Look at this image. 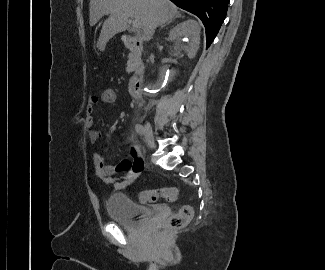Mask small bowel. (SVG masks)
<instances>
[{"label": "small bowel", "instance_id": "obj_1", "mask_svg": "<svg viewBox=\"0 0 325 270\" xmlns=\"http://www.w3.org/2000/svg\"><path fill=\"white\" fill-rule=\"evenodd\" d=\"M114 96H116V94ZM100 97L95 95L91 96L88 100V106L86 109L85 123L89 128V138L92 142L98 141L102 136L101 131L94 128V106L100 101ZM136 158L137 152L134 148L131 149L130 153L126 157L121 159L115 165L107 164L98 153H94L92 156L98 177L105 184L111 185L114 190L125 189L131 186L137 179L142 170V164L139 160H136ZM117 174L122 175L117 176Z\"/></svg>", "mask_w": 325, "mask_h": 270}]
</instances>
